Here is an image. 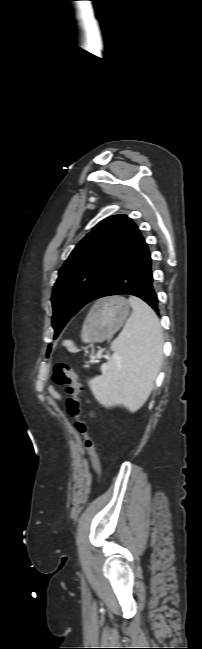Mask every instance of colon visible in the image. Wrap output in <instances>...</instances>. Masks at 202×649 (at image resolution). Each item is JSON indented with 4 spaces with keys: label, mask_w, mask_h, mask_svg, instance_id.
I'll list each match as a JSON object with an SVG mask.
<instances>
[{
    "label": "colon",
    "mask_w": 202,
    "mask_h": 649,
    "mask_svg": "<svg viewBox=\"0 0 202 649\" xmlns=\"http://www.w3.org/2000/svg\"><path fill=\"white\" fill-rule=\"evenodd\" d=\"M53 381L58 385L65 386L68 395L67 412L74 418V426L77 433L83 438L84 446L91 461V466L96 475L100 472L99 458L96 453L95 444L89 433L88 421L81 417L82 401L80 398L81 385L73 368L66 363L56 364L52 374Z\"/></svg>",
    "instance_id": "colon-1"
}]
</instances>
